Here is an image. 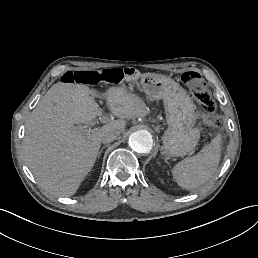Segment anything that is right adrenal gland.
<instances>
[{
    "instance_id": "2a0ac1e0",
    "label": "right adrenal gland",
    "mask_w": 258,
    "mask_h": 258,
    "mask_svg": "<svg viewBox=\"0 0 258 258\" xmlns=\"http://www.w3.org/2000/svg\"><path fill=\"white\" fill-rule=\"evenodd\" d=\"M106 147H107V145L103 146V147L101 148V150L98 152V154H97L98 159L100 158L101 153L103 152V149L106 148Z\"/></svg>"
}]
</instances>
